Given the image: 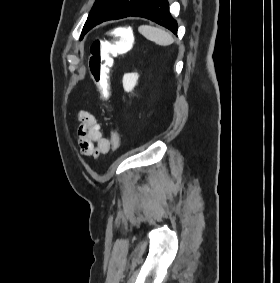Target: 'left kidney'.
Listing matches in <instances>:
<instances>
[{
	"instance_id": "obj_1",
	"label": "left kidney",
	"mask_w": 280,
	"mask_h": 283,
	"mask_svg": "<svg viewBox=\"0 0 280 283\" xmlns=\"http://www.w3.org/2000/svg\"><path fill=\"white\" fill-rule=\"evenodd\" d=\"M139 75L137 73H127L123 76V88L126 92H131L137 84Z\"/></svg>"
}]
</instances>
